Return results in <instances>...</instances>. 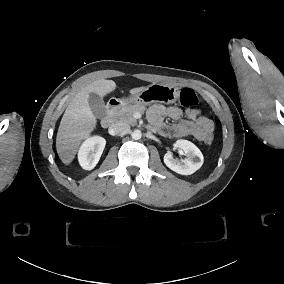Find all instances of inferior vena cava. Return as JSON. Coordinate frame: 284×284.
<instances>
[{"label": "inferior vena cava", "mask_w": 284, "mask_h": 284, "mask_svg": "<svg viewBox=\"0 0 284 284\" xmlns=\"http://www.w3.org/2000/svg\"><path fill=\"white\" fill-rule=\"evenodd\" d=\"M129 129L130 126L127 123L119 121L111 124V126L109 127V133L111 135L123 134L126 133Z\"/></svg>", "instance_id": "inferior-vena-cava-1"}]
</instances>
